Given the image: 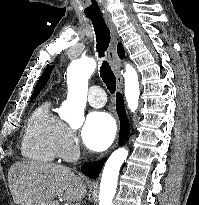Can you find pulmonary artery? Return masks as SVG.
I'll list each match as a JSON object with an SVG mask.
<instances>
[{
	"label": "pulmonary artery",
	"instance_id": "obj_1",
	"mask_svg": "<svg viewBox=\"0 0 199 205\" xmlns=\"http://www.w3.org/2000/svg\"><path fill=\"white\" fill-rule=\"evenodd\" d=\"M88 102L93 107H102L106 103V94L100 86H92L88 94Z\"/></svg>",
	"mask_w": 199,
	"mask_h": 205
}]
</instances>
